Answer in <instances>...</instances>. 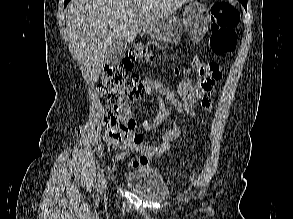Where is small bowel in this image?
I'll use <instances>...</instances> for the list:
<instances>
[{
  "label": "small bowel",
  "mask_w": 293,
  "mask_h": 219,
  "mask_svg": "<svg viewBox=\"0 0 293 219\" xmlns=\"http://www.w3.org/2000/svg\"><path fill=\"white\" fill-rule=\"evenodd\" d=\"M184 73L189 75L191 70L184 68ZM207 80L205 75L200 74L196 83L188 78H184L178 86L179 98L165 88L160 82L145 78L143 80V87L147 94H154L159 105V113L147 118L142 123L144 131H154L160 128L167 120L170 114V106L181 115L188 113L192 116L195 115V104L200 102L201 105L207 110H211L212 95L215 92V82L209 89L204 88ZM160 96H164L167 103H164ZM136 122L130 118L127 126L122 130L109 131L104 135L109 152L115 154L117 161H122L123 158L129 153L131 148L139 151L141 155L132 161V166L143 167L150 163L151 159L155 156L164 154L165 152L174 148L172 140L182 135L185 137L187 132L181 133L178 124L174 123L172 126L163 129L162 135L158 139V143L153 145L148 141L143 133L135 132Z\"/></svg>",
  "instance_id": "c3829d8e"
}]
</instances>
